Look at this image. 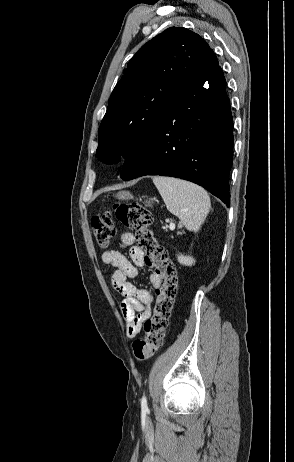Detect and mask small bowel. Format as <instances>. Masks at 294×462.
Here are the masks:
<instances>
[{
  "mask_svg": "<svg viewBox=\"0 0 294 462\" xmlns=\"http://www.w3.org/2000/svg\"><path fill=\"white\" fill-rule=\"evenodd\" d=\"M135 237L130 232H124L119 237L122 248H130V258H126L120 251L107 250L102 253V261L114 267L111 273L113 289L123 296L121 313L126 322V335L133 338L138 335L143 323L152 314L154 294L150 290L139 289L132 282L138 268L144 265L143 254L138 246L134 245ZM150 284L154 289L159 287V279L154 274L149 275Z\"/></svg>",
  "mask_w": 294,
  "mask_h": 462,
  "instance_id": "obj_1",
  "label": "small bowel"
}]
</instances>
